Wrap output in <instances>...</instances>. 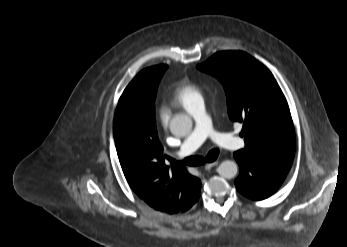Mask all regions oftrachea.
I'll use <instances>...</instances> for the list:
<instances>
[{
	"mask_svg": "<svg viewBox=\"0 0 347 247\" xmlns=\"http://www.w3.org/2000/svg\"><path fill=\"white\" fill-rule=\"evenodd\" d=\"M218 155H219V149H212L211 151H209V153L207 154L205 158L202 156H191V157L185 158L182 162H177L172 159H170V161L172 162L173 165L177 163H183L190 166H200V165H203L205 162L215 161Z\"/></svg>",
	"mask_w": 347,
	"mask_h": 247,
	"instance_id": "1",
	"label": "trachea"
}]
</instances>
